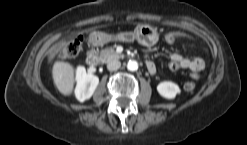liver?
I'll return each mask as SVG.
<instances>
[{
  "label": "liver",
  "instance_id": "liver-1",
  "mask_svg": "<svg viewBox=\"0 0 247 145\" xmlns=\"http://www.w3.org/2000/svg\"><path fill=\"white\" fill-rule=\"evenodd\" d=\"M52 77L58 91L65 95H71L74 87V68L68 62L56 61L52 67Z\"/></svg>",
  "mask_w": 247,
  "mask_h": 145
}]
</instances>
